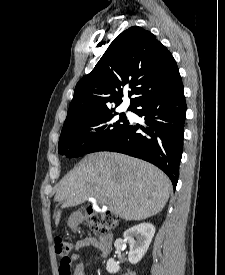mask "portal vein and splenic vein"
<instances>
[{
  "label": "portal vein and splenic vein",
  "instance_id": "portal-vein-and-splenic-vein-1",
  "mask_svg": "<svg viewBox=\"0 0 225 275\" xmlns=\"http://www.w3.org/2000/svg\"><path fill=\"white\" fill-rule=\"evenodd\" d=\"M89 201H95V199L94 198H90Z\"/></svg>",
  "mask_w": 225,
  "mask_h": 275
}]
</instances>
